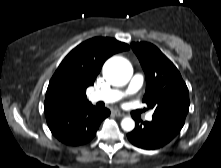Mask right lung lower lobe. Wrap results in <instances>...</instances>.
I'll return each instance as SVG.
<instances>
[{"label":"right lung lower lobe","instance_id":"98d812e1","mask_svg":"<svg viewBox=\"0 0 221 168\" xmlns=\"http://www.w3.org/2000/svg\"><path fill=\"white\" fill-rule=\"evenodd\" d=\"M52 134L66 145L85 144L94 138L102 120L110 115L107 108L98 109L91 103L45 113Z\"/></svg>","mask_w":221,"mask_h":168}]
</instances>
